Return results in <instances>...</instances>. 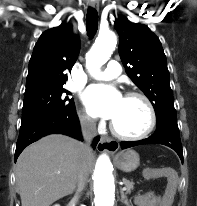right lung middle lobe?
Segmentation results:
<instances>
[{
    "label": "right lung middle lobe",
    "instance_id": "right-lung-middle-lobe-1",
    "mask_svg": "<svg viewBox=\"0 0 197 206\" xmlns=\"http://www.w3.org/2000/svg\"><path fill=\"white\" fill-rule=\"evenodd\" d=\"M63 85L28 88L24 94L22 123L45 116L75 110L74 100Z\"/></svg>",
    "mask_w": 197,
    "mask_h": 206
}]
</instances>
